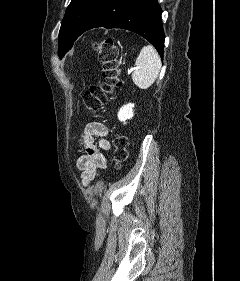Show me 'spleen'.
Segmentation results:
<instances>
[{"instance_id": "3e777b00", "label": "spleen", "mask_w": 240, "mask_h": 281, "mask_svg": "<svg viewBox=\"0 0 240 281\" xmlns=\"http://www.w3.org/2000/svg\"><path fill=\"white\" fill-rule=\"evenodd\" d=\"M137 70L132 74L134 84L140 89H148L157 79L161 60L157 51L151 46H144L135 62Z\"/></svg>"}]
</instances>
